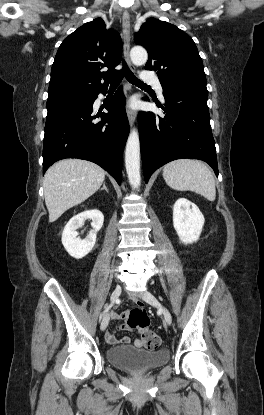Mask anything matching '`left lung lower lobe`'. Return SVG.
Masks as SVG:
<instances>
[{
    "label": "left lung lower lobe",
    "instance_id": "left-lung-lower-lobe-1",
    "mask_svg": "<svg viewBox=\"0 0 264 415\" xmlns=\"http://www.w3.org/2000/svg\"><path fill=\"white\" fill-rule=\"evenodd\" d=\"M163 115H138L145 182L162 165L180 158L207 162L218 176V164L207 106L208 94L184 90L163 92Z\"/></svg>",
    "mask_w": 264,
    "mask_h": 415
}]
</instances>
